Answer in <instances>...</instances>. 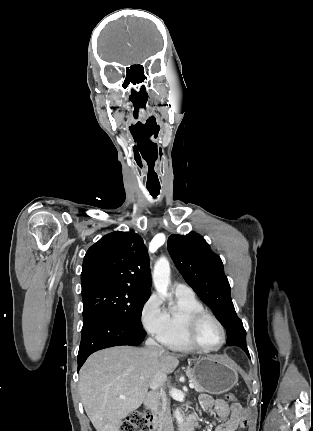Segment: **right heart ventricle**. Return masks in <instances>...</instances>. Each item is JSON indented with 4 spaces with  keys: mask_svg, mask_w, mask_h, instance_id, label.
<instances>
[{
    "mask_svg": "<svg viewBox=\"0 0 313 431\" xmlns=\"http://www.w3.org/2000/svg\"><path fill=\"white\" fill-rule=\"evenodd\" d=\"M176 300V306L166 310L167 328L160 341L171 350L191 351L195 348L187 340V325L189 319L195 313L204 310V307L194 294H176Z\"/></svg>",
    "mask_w": 313,
    "mask_h": 431,
    "instance_id": "1",
    "label": "right heart ventricle"
}]
</instances>
